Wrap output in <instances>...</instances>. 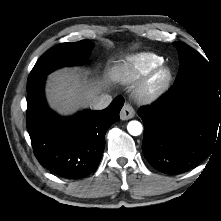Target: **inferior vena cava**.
Here are the masks:
<instances>
[{
  "label": "inferior vena cava",
  "mask_w": 221,
  "mask_h": 221,
  "mask_svg": "<svg viewBox=\"0 0 221 221\" xmlns=\"http://www.w3.org/2000/svg\"><path fill=\"white\" fill-rule=\"evenodd\" d=\"M112 100H113V98L111 95L101 94L100 96H97L94 98V100L92 102V107L95 110L105 109L110 105Z\"/></svg>",
  "instance_id": "obj_1"
}]
</instances>
